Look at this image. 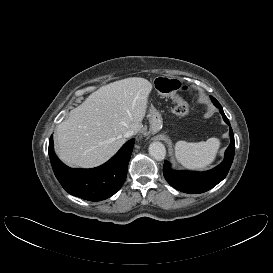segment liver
<instances>
[{
	"mask_svg": "<svg viewBox=\"0 0 273 273\" xmlns=\"http://www.w3.org/2000/svg\"><path fill=\"white\" fill-rule=\"evenodd\" d=\"M151 90L148 80L131 77L93 92L57 126L59 158L83 168L109 160L126 142L127 130H141Z\"/></svg>",
	"mask_w": 273,
	"mask_h": 273,
	"instance_id": "1",
	"label": "liver"
}]
</instances>
